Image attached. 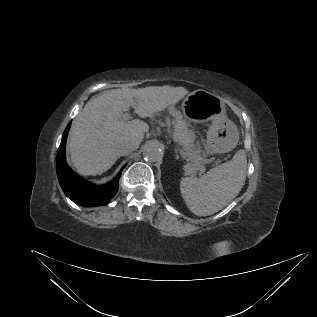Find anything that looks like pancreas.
Instances as JSON below:
<instances>
[{
	"label": "pancreas",
	"instance_id": "1",
	"mask_svg": "<svg viewBox=\"0 0 317 317\" xmlns=\"http://www.w3.org/2000/svg\"><path fill=\"white\" fill-rule=\"evenodd\" d=\"M169 113L174 117L172 121L174 126L173 139L182 146L192 166L198 169L203 168L200 165L202 162L201 149L199 145L194 144L196 135L189 129L190 124L183 118L180 111L170 108Z\"/></svg>",
	"mask_w": 317,
	"mask_h": 317
}]
</instances>
